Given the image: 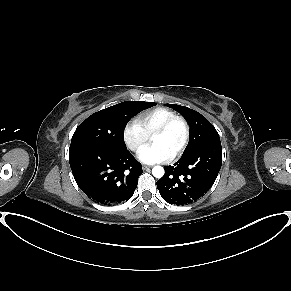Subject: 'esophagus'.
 Listing matches in <instances>:
<instances>
[{
  "label": "esophagus",
  "instance_id": "obj_1",
  "mask_svg": "<svg viewBox=\"0 0 291 291\" xmlns=\"http://www.w3.org/2000/svg\"><path fill=\"white\" fill-rule=\"evenodd\" d=\"M142 168L145 170V169H149L150 166H147V165H143Z\"/></svg>",
  "mask_w": 291,
  "mask_h": 291
}]
</instances>
